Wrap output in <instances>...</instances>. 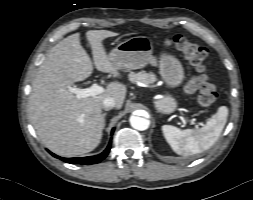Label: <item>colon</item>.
I'll use <instances>...</instances> for the list:
<instances>
[{
  "label": "colon",
  "instance_id": "5ec220e1",
  "mask_svg": "<svg viewBox=\"0 0 253 200\" xmlns=\"http://www.w3.org/2000/svg\"><path fill=\"white\" fill-rule=\"evenodd\" d=\"M165 45L178 50L200 73L197 101L200 107L209 111L216 100V87L211 78L205 74L207 64V51L181 35H175L165 40Z\"/></svg>",
  "mask_w": 253,
  "mask_h": 200
}]
</instances>
